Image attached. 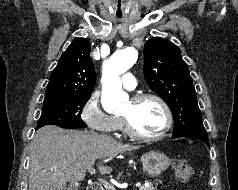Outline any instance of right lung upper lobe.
<instances>
[{
	"label": "right lung upper lobe",
	"instance_id": "obj_1",
	"mask_svg": "<svg viewBox=\"0 0 238 190\" xmlns=\"http://www.w3.org/2000/svg\"><path fill=\"white\" fill-rule=\"evenodd\" d=\"M90 48V43L85 38H77L71 43L51 73L45 98L91 95L96 78L89 55Z\"/></svg>",
	"mask_w": 238,
	"mask_h": 190
}]
</instances>
